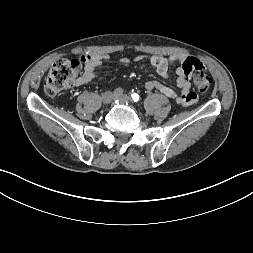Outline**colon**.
<instances>
[{
    "label": "colon",
    "mask_w": 253,
    "mask_h": 253,
    "mask_svg": "<svg viewBox=\"0 0 253 253\" xmlns=\"http://www.w3.org/2000/svg\"><path fill=\"white\" fill-rule=\"evenodd\" d=\"M187 65L193 71V83L200 92H207L213 84L212 78L206 73L204 65L196 58H189ZM82 61L79 59L62 58L51 67L44 85L49 96H55L64 90L81 72Z\"/></svg>",
    "instance_id": "obj_1"
}]
</instances>
